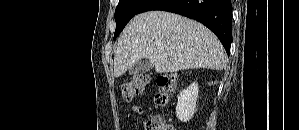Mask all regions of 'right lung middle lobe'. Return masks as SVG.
Segmentation results:
<instances>
[{
	"mask_svg": "<svg viewBox=\"0 0 299 130\" xmlns=\"http://www.w3.org/2000/svg\"><path fill=\"white\" fill-rule=\"evenodd\" d=\"M147 1L148 0H119L115 10L116 30L114 39L120 34L130 19L138 14L139 9Z\"/></svg>",
	"mask_w": 299,
	"mask_h": 130,
	"instance_id": "right-lung-middle-lobe-1",
	"label": "right lung middle lobe"
}]
</instances>
